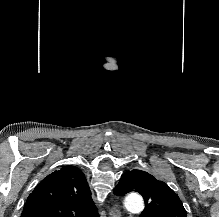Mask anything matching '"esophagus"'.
I'll return each instance as SVG.
<instances>
[{
    "label": "esophagus",
    "instance_id": "esophagus-1",
    "mask_svg": "<svg viewBox=\"0 0 219 217\" xmlns=\"http://www.w3.org/2000/svg\"><path fill=\"white\" fill-rule=\"evenodd\" d=\"M109 217H121L120 215V210H119V206L117 203H115L111 209H110V213H109Z\"/></svg>",
    "mask_w": 219,
    "mask_h": 217
}]
</instances>
